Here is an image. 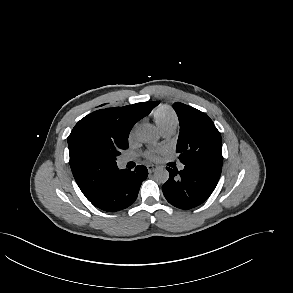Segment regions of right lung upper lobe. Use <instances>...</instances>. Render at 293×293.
Wrapping results in <instances>:
<instances>
[{"label":"right lung upper lobe","instance_id":"1","mask_svg":"<svg viewBox=\"0 0 293 293\" xmlns=\"http://www.w3.org/2000/svg\"><path fill=\"white\" fill-rule=\"evenodd\" d=\"M158 102L97 110L81 119L68 137L70 166L80 190L90 200L119 169L113 151L124 147L134 124Z\"/></svg>","mask_w":293,"mask_h":293}]
</instances>
